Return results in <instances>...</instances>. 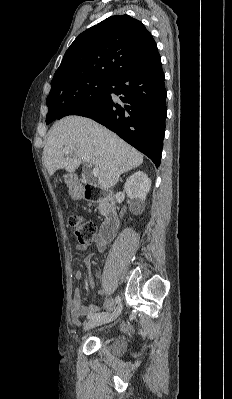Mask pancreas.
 Here are the masks:
<instances>
[{
    "label": "pancreas",
    "mask_w": 232,
    "mask_h": 399,
    "mask_svg": "<svg viewBox=\"0 0 232 399\" xmlns=\"http://www.w3.org/2000/svg\"><path fill=\"white\" fill-rule=\"evenodd\" d=\"M99 209H100L101 213H104L102 205H99Z\"/></svg>",
    "instance_id": "obj_1"
}]
</instances>
